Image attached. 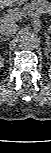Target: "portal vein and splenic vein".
I'll return each instance as SVG.
<instances>
[{
  "label": "portal vein and splenic vein",
  "mask_w": 51,
  "mask_h": 153,
  "mask_svg": "<svg viewBox=\"0 0 51 153\" xmlns=\"http://www.w3.org/2000/svg\"><path fill=\"white\" fill-rule=\"evenodd\" d=\"M40 13H44L43 11H39ZM22 16H25L22 12H10L4 16V20L13 21L18 20Z\"/></svg>",
  "instance_id": "1"
}]
</instances>
